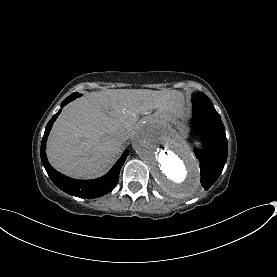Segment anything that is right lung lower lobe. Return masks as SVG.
Listing matches in <instances>:
<instances>
[{"mask_svg": "<svg viewBox=\"0 0 277 277\" xmlns=\"http://www.w3.org/2000/svg\"><path fill=\"white\" fill-rule=\"evenodd\" d=\"M79 96L81 95L78 93H74L68 96L62 102V106L66 105L67 103H69L70 101H72L73 99ZM60 112L61 110H59L48 122L45 129V135L43 136L42 143H41V160L49 177L58 188H60L62 191L66 192L67 194H70L73 196H77L81 198H96L104 194H107L108 192L114 189V187L116 186L119 180V173L123 163L125 162L127 152H124L122 157L117 161V163L113 166V168L105 176L101 178H98L95 180H76L62 175L49 164L45 153L46 140H47L48 134L52 128L54 121L56 120L57 116L60 114Z\"/></svg>", "mask_w": 277, "mask_h": 277, "instance_id": "1", "label": "right lung lower lobe"}]
</instances>
